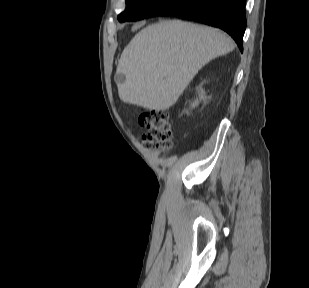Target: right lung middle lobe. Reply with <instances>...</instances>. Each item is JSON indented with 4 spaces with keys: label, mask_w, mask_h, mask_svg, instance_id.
Instances as JSON below:
<instances>
[{
    "label": "right lung middle lobe",
    "mask_w": 309,
    "mask_h": 288,
    "mask_svg": "<svg viewBox=\"0 0 309 288\" xmlns=\"http://www.w3.org/2000/svg\"><path fill=\"white\" fill-rule=\"evenodd\" d=\"M167 0H126V9L118 16L120 22L136 21L145 18Z\"/></svg>",
    "instance_id": "dd1d6c3e"
}]
</instances>
